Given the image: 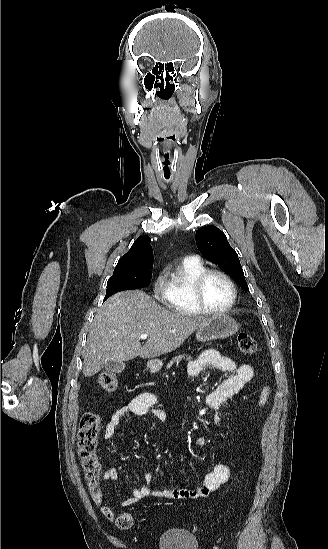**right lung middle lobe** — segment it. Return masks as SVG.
I'll return each mask as SVG.
<instances>
[{
    "label": "right lung middle lobe",
    "instance_id": "dd1d6c3e",
    "mask_svg": "<svg viewBox=\"0 0 328 549\" xmlns=\"http://www.w3.org/2000/svg\"><path fill=\"white\" fill-rule=\"evenodd\" d=\"M153 260L143 261L114 271L107 282L105 299L114 293L147 286L151 282Z\"/></svg>",
    "mask_w": 328,
    "mask_h": 549
}]
</instances>
